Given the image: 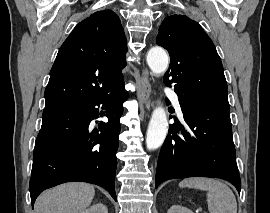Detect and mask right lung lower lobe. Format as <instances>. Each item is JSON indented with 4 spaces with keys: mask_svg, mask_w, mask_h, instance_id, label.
I'll return each instance as SVG.
<instances>
[{
    "mask_svg": "<svg viewBox=\"0 0 270 213\" xmlns=\"http://www.w3.org/2000/svg\"><path fill=\"white\" fill-rule=\"evenodd\" d=\"M127 99L124 84L108 94L78 103L47 106L36 138L30 179L32 207L45 189L61 183L81 181L100 185L117 201L115 193L116 153L122 104ZM103 104L108 122L93 129Z\"/></svg>",
    "mask_w": 270,
    "mask_h": 213,
    "instance_id": "1",
    "label": "right lung lower lobe"
}]
</instances>
